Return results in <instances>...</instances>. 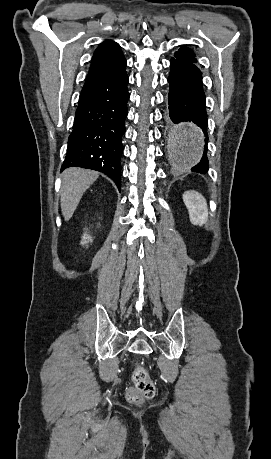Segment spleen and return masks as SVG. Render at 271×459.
I'll return each instance as SVG.
<instances>
[{
  "label": "spleen",
  "instance_id": "1",
  "mask_svg": "<svg viewBox=\"0 0 271 459\" xmlns=\"http://www.w3.org/2000/svg\"><path fill=\"white\" fill-rule=\"evenodd\" d=\"M196 200H186L184 198V204H186L189 212V218L192 224L195 226H203L208 220V208L207 204L200 194H196Z\"/></svg>",
  "mask_w": 271,
  "mask_h": 459
}]
</instances>
